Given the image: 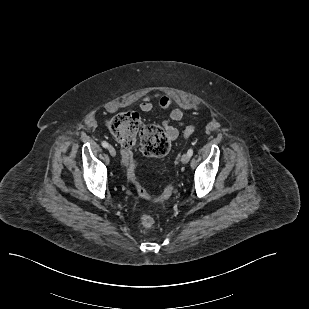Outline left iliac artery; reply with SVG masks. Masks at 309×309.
<instances>
[{"mask_svg": "<svg viewBox=\"0 0 309 309\" xmlns=\"http://www.w3.org/2000/svg\"><path fill=\"white\" fill-rule=\"evenodd\" d=\"M187 153L191 157L193 155V149L190 148Z\"/></svg>", "mask_w": 309, "mask_h": 309, "instance_id": "44dca946", "label": "left iliac artery"}]
</instances>
